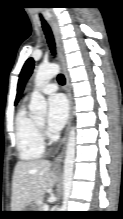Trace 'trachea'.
<instances>
[{
  "mask_svg": "<svg viewBox=\"0 0 123 219\" xmlns=\"http://www.w3.org/2000/svg\"><path fill=\"white\" fill-rule=\"evenodd\" d=\"M41 21H42V27H43L45 36L47 38V42L49 44L50 50L55 55V42H54V37H53L52 31L42 16H41ZM57 80H58L59 84H61V85L65 84V77L62 74L58 75Z\"/></svg>",
  "mask_w": 123,
  "mask_h": 219,
  "instance_id": "obj_1",
  "label": "trachea"
}]
</instances>
